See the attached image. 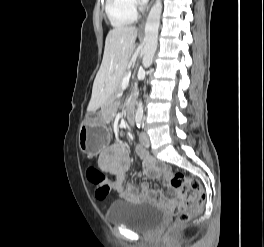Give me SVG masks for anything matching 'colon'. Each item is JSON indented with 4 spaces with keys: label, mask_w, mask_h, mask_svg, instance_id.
I'll return each mask as SVG.
<instances>
[{
    "label": "colon",
    "mask_w": 264,
    "mask_h": 247,
    "mask_svg": "<svg viewBox=\"0 0 264 247\" xmlns=\"http://www.w3.org/2000/svg\"><path fill=\"white\" fill-rule=\"evenodd\" d=\"M86 177L95 188V197L99 200L106 199L111 189L107 177L95 167L87 168ZM169 182L171 188L182 195L176 200L174 208L175 221L170 227V230H174L189 223L203 209L206 194L198 180L181 172L172 174ZM187 191H191L192 196L186 198Z\"/></svg>",
    "instance_id": "5ec220e1"
}]
</instances>
